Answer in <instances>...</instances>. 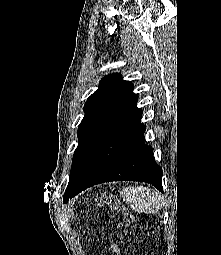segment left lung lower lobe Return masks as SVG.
<instances>
[{
    "instance_id": "1",
    "label": "left lung lower lobe",
    "mask_w": 221,
    "mask_h": 255,
    "mask_svg": "<svg viewBox=\"0 0 221 255\" xmlns=\"http://www.w3.org/2000/svg\"><path fill=\"white\" fill-rule=\"evenodd\" d=\"M142 113L136 107L105 137L86 164L69 198L93 185L122 180L147 182L163 192L162 169L154 160L152 147L144 143Z\"/></svg>"
}]
</instances>
